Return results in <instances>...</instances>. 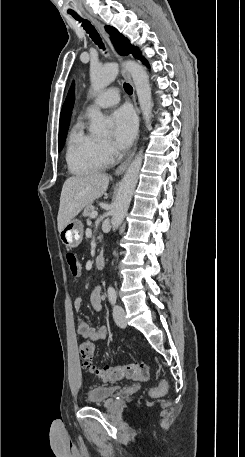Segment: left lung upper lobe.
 <instances>
[{"mask_svg":"<svg viewBox=\"0 0 245 457\" xmlns=\"http://www.w3.org/2000/svg\"><path fill=\"white\" fill-rule=\"evenodd\" d=\"M106 31L111 35V41L113 42L116 50L121 55L133 54L135 58L141 59V53L137 47L132 46L128 39L119 33L115 28L106 26Z\"/></svg>","mask_w":245,"mask_h":457,"instance_id":"5c2ea615","label":"left lung upper lobe"}]
</instances>
